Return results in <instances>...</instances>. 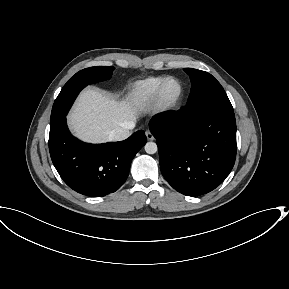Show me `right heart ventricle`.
I'll return each instance as SVG.
<instances>
[{
  "instance_id": "e07e8e85",
  "label": "right heart ventricle",
  "mask_w": 289,
  "mask_h": 289,
  "mask_svg": "<svg viewBox=\"0 0 289 289\" xmlns=\"http://www.w3.org/2000/svg\"><path fill=\"white\" fill-rule=\"evenodd\" d=\"M165 78L163 76H150L135 82L129 93L131 102L142 105L154 100L157 89Z\"/></svg>"
}]
</instances>
